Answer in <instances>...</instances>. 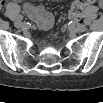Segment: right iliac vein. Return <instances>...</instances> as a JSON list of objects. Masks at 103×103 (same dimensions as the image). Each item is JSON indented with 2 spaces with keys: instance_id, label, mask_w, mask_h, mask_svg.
<instances>
[{
  "instance_id": "obj_1",
  "label": "right iliac vein",
  "mask_w": 103,
  "mask_h": 103,
  "mask_svg": "<svg viewBox=\"0 0 103 103\" xmlns=\"http://www.w3.org/2000/svg\"><path fill=\"white\" fill-rule=\"evenodd\" d=\"M15 26H16L17 28H22V27L24 26V23H23L22 21H16V22H15Z\"/></svg>"
}]
</instances>
